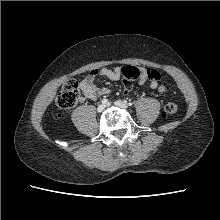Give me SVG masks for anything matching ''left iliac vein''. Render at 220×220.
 <instances>
[{"mask_svg":"<svg viewBox=\"0 0 220 220\" xmlns=\"http://www.w3.org/2000/svg\"><path fill=\"white\" fill-rule=\"evenodd\" d=\"M117 107H120V108H123V109H126L127 108V104L123 101H120V100H117L115 101L114 103Z\"/></svg>","mask_w":220,"mask_h":220,"instance_id":"obj_1","label":"left iliac vein"}]
</instances>
